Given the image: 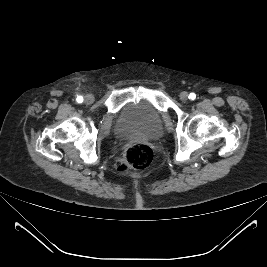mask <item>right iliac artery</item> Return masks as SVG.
<instances>
[{
  "mask_svg": "<svg viewBox=\"0 0 267 267\" xmlns=\"http://www.w3.org/2000/svg\"><path fill=\"white\" fill-rule=\"evenodd\" d=\"M82 101H83V97H82V96H78V97H77V102H78V103H81Z\"/></svg>",
  "mask_w": 267,
  "mask_h": 267,
  "instance_id": "82829eb1",
  "label": "right iliac artery"
}]
</instances>
